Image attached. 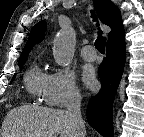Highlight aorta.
<instances>
[{"label":"aorta","instance_id":"762f6f07","mask_svg":"<svg viewBox=\"0 0 144 137\" xmlns=\"http://www.w3.org/2000/svg\"><path fill=\"white\" fill-rule=\"evenodd\" d=\"M76 33L73 29L61 32L54 40L53 56L60 66L71 63L75 52Z\"/></svg>","mask_w":144,"mask_h":137}]
</instances>
